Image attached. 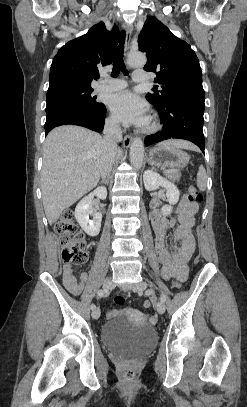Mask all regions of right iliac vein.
<instances>
[{
  "label": "right iliac vein",
  "instance_id": "obj_1",
  "mask_svg": "<svg viewBox=\"0 0 247 407\" xmlns=\"http://www.w3.org/2000/svg\"><path fill=\"white\" fill-rule=\"evenodd\" d=\"M114 286H115V284H114V282H113L111 279H106V280L104 281V283H103V287H104L105 289H113ZM92 317H93L94 319H98V318L100 317V309H99V308H96V309L93 310V312H92Z\"/></svg>",
  "mask_w": 247,
  "mask_h": 407
}]
</instances>
